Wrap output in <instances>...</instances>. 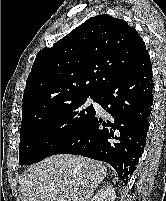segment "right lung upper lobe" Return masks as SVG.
<instances>
[{
  "label": "right lung upper lobe",
  "instance_id": "cb5924a9",
  "mask_svg": "<svg viewBox=\"0 0 166 201\" xmlns=\"http://www.w3.org/2000/svg\"><path fill=\"white\" fill-rule=\"evenodd\" d=\"M146 53L143 39L124 20L92 17L37 54L26 80L22 115L96 96Z\"/></svg>",
  "mask_w": 166,
  "mask_h": 201
}]
</instances>
